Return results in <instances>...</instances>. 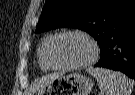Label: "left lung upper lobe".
<instances>
[{"label":"left lung upper lobe","mask_w":135,"mask_h":95,"mask_svg":"<svg viewBox=\"0 0 135 95\" xmlns=\"http://www.w3.org/2000/svg\"><path fill=\"white\" fill-rule=\"evenodd\" d=\"M135 17V0H47L35 33L60 27L86 31L99 44Z\"/></svg>","instance_id":"1"}]
</instances>
